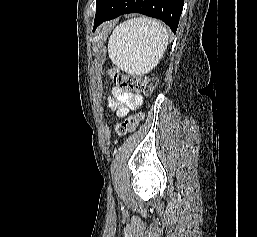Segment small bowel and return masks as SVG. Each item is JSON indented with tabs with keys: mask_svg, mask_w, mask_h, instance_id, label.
I'll list each match as a JSON object with an SVG mask.
<instances>
[{
	"mask_svg": "<svg viewBox=\"0 0 257 237\" xmlns=\"http://www.w3.org/2000/svg\"><path fill=\"white\" fill-rule=\"evenodd\" d=\"M142 103V97L138 94L127 93L119 88H113L109 97V105L117 110L119 117L127 115L129 110L139 107Z\"/></svg>",
	"mask_w": 257,
	"mask_h": 237,
	"instance_id": "1",
	"label": "small bowel"
}]
</instances>
